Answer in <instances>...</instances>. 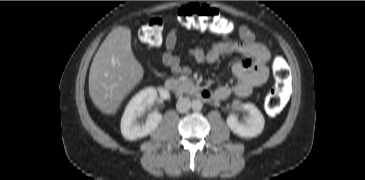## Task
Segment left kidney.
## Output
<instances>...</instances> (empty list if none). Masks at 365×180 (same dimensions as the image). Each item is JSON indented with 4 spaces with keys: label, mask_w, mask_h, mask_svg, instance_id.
Here are the masks:
<instances>
[{
    "label": "left kidney",
    "mask_w": 365,
    "mask_h": 180,
    "mask_svg": "<svg viewBox=\"0 0 365 180\" xmlns=\"http://www.w3.org/2000/svg\"><path fill=\"white\" fill-rule=\"evenodd\" d=\"M234 104H239L235 101ZM241 108L248 112V116L244 122H240L235 115H229L227 118V125L233 131L243 138L256 137L263 131L265 120L258 108L251 103H244Z\"/></svg>",
    "instance_id": "left-kidney-1"
}]
</instances>
